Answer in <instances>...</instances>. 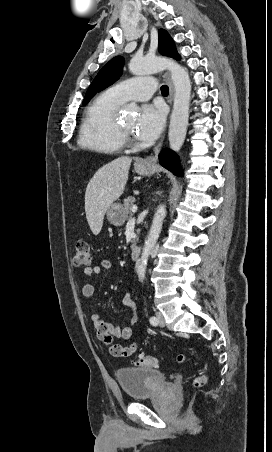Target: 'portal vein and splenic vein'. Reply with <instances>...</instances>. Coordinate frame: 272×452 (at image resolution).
<instances>
[{"mask_svg":"<svg viewBox=\"0 0 272 452\" xmlns=\"http://www.w3.org/2000/svg\"><path fill=\"white\" fill-rule=\"evenodd\" d=\"M136 211H137V206H136V205H133V207H132V212L135 213Z\"/></svg>","mask_w":272,"mask_h":452,"instance_id":"18ae733b","label":"portal vein and splenic vein"}]
</instances>
